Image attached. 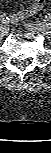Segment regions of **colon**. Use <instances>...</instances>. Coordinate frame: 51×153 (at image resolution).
I'll list each match as a JSON object with an SVG mask.
<instances>
[{
    "mask_svg": "<svg viewBox=\"0 0 51 153\" xmlns=\"http://www.w3.org/2000/svg\"><path fill=\"white\" fill-rule=\"evenodd\" d=\"M36 1L39 2V3L42 2L41 0H36Z\"/></svg>",
    "mask_w": 51,
    "mask_h": 153,
    "instance_id": "colon-1",
    "label": "colon"
}]
</instances>
